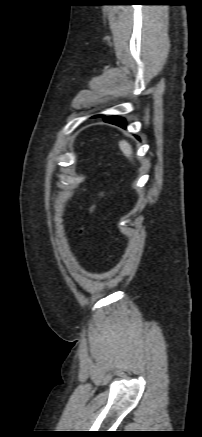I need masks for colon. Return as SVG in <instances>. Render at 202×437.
<instances>
[{
    "label": "colon",
    "instance_id": "5ec220e1",
    "mask_svg": "<svg viewBox=\"0 0 202 437\" xmlns=\"http://www.w3.org/2000/svg\"><path fill=\"white\" fill-rule=\"evenodd\" d=\"M101 197H102V193H100V194L98 195V198H101ZM95 209H96V201L93 202V203L90 205V207H89V211H88V216H87V218L84 220L82 226H81L80 229H79V235H80L81 237L85 234V231H86V225H87V222H88V217L91 216V215L94 213Z\"/></svg>",
    "mask_w": 202,
    "mask_h": 437
}]
</instances>
